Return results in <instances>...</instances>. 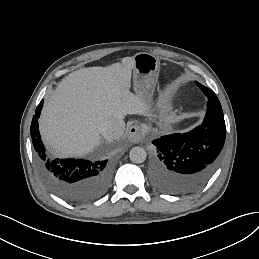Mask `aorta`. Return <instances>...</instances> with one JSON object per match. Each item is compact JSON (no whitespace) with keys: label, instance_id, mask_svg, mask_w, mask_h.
<instances>
[{"label":"aorta","instance_id":"762f6f07","mask_svg":"<svg viewBox=\"0 0 259 259\" xmlns=\"http://www.w3.org/2000/svg\"><path fill=\"white\" fill-rule=\"evenodd\" d=\"M129 157L133 163L139 164L146 160L147 153L144 148L136 146L130 150Z\"/></svg>","mask_w":259,"mask_h":259}]
</instances>
